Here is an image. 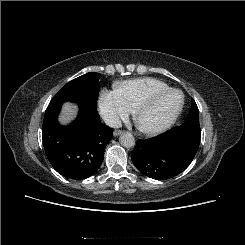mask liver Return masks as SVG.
I'll use <instances>...</instances> for the list:
<instances>
[{
	"mask_svg": "<svg viewBox=\"0 0 245 245\" xmlns=\"http://www.w3.org/2000/svg\"><path fill=\"white\" fill-rule=\"evenodd\" d=\"M76 116V108L75 106L67 103L64 105L62 115L60 117V121L62 123H67Z\"/></svg>",
	"mask_w": 245,
	"mask_h": 245,
	"instance_id": "1",
	"label": "liver"
}]
</instances>
